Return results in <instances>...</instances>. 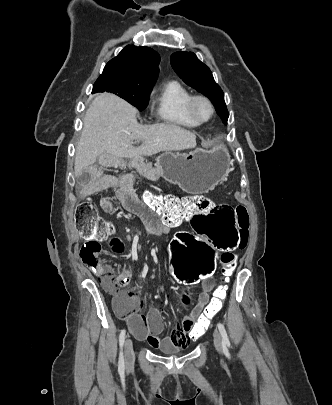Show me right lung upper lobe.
Wrapping results in <instances>:
<instances>
[{"label":"right lung upper lobe","mask_w":332,"mask_h":405,"mask_svg":"<svg viewBox=\"0 0 332 405\" xmlns=\"http://www.w3.org/2000/svg\"><path fill=\"white\" fill-rule=\"evenodd\" d=\"M160 56L149 47L126 46L104 67L102 74H119L139 82H154L159 72Z\"/></svg>","instance_id":"obj_1"}]
</instances>
